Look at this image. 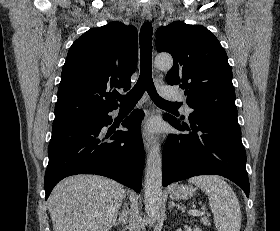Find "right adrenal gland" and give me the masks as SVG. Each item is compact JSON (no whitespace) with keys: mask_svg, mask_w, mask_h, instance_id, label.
<instances>
[{"mask_svg":"<svg viewBox=\"0 0 280 231\" xmlns=\"http://www.w3.org/2000/svg\"><path fill=\"white\" fill-rule=\"evenodd\" d=\"M126 219H127L126 209H122V213H119L118 219H115L113 223L114 227H116V225H119V223H122V227H123V225H125L126 223Z\"/></svg>","mask_w":280,"mask_h":231,"instance_id":"obj_1","label":"right adrenal gland"}]
</instances>
